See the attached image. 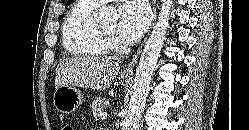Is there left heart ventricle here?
<instances>
[{
  "instance_id": "left-heart-ventricle-1",
  "label": "left heart ventricle",
  "mask_w": 249,
  "mask_h": 130,
  "mask_svg": "<svg viewBox=\"0 0 249 130\" xmlns=\"http://www.w3.org/2000/svg\"><path fill=\"white\" fill-rule=\"evenodd\" d=\"M102 27L106 31L111 32V33H115V31H116V23H114V22L102 24Z\"/></svg>"
}]
</instances>
